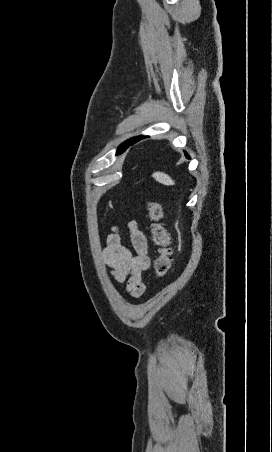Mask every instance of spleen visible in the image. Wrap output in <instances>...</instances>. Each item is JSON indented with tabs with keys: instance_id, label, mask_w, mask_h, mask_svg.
I'll return each mask as SVG.
<instances>
[{
	"instance_id": "1",
	"label": "spleen",
	"mask_w": 272,
	"mask_h": 452,
	"mask_svg": "<svg viewBox=\"0 0 272 452\" xmlns=\"http://www.w3.org/2000/svg\"><path fill=\"white\" fill-rule=\"evenodd\" d=\"M153 178L164 185L170 186V185H174V181L171 179V177L165 173L162 172H155L153 175Z\"/></svg>"
}]
</instances>
